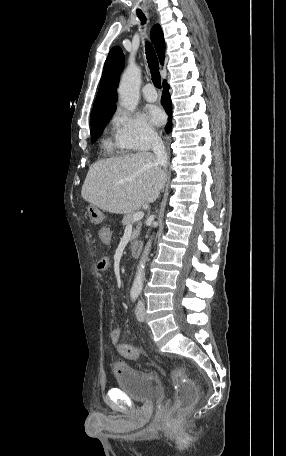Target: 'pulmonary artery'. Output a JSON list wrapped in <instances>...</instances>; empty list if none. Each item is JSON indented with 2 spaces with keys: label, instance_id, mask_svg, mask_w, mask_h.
Returning <instances> with one entry per match:
<instances>
[{
  "label": "pulmonary artery",
  "instance_id": "1",
  "mask_svg": "<svg viewBox=\"0 0 286 456\" xmlns=\"http://www.w3.org/2000/svg\"><path fill=\"white\" fill-rule=\"evenodd\" d=\"M142 95L144 99L148 102H154L157 100V92L153 86V84H146L142 89Z\"/></svg>",
  "mask_w": 286,
  "mask_h": 456
}]
</instances>
